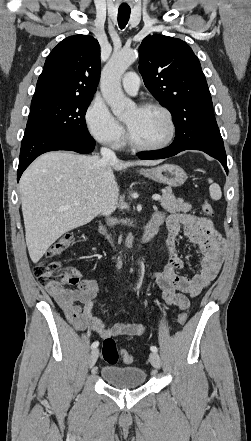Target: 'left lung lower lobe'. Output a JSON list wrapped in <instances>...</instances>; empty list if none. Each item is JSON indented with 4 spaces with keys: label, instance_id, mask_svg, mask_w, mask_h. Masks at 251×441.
Segmentation results:
<instances>
[{
    "label": "left lung lower lobe",
    "instance_id": "1",
    "mask_svg": "<svg viewBox=\"0 0 251 441\" xmlns=\"http://www.w3.org/2000/svg\"><path fill=\"white\" fill-rule=\"evenodd\" d=\"M200 150L219 160L228 173L227 158L223 139L215 116L199 115L184 121L176 129L173 143L164 149L139 155L140 159H163L174 156L184 150Z\"/></svg>",
    "mask_w": 251,
    "mask_h": 441
}]
</instances>
